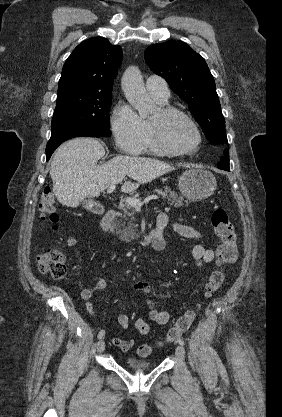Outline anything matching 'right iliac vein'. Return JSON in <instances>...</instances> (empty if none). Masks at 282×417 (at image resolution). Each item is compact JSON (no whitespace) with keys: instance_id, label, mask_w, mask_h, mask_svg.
Returning a JSON list of instances; mask_svg holds the SVG:
<instances>
[{"instance_id":"63e3f726","label":"right iliac vein","mask_w":282,"mask_h":417,"mask_svg":"<svg viewBox=\"0 0 282 417\" xmlns=\"http://www.w3.org/2000/svg\"><path fill=\"white\" fill-rule=\"evenodd\" d=\"M104 350H105V342H104L103 340H100V341L97 343V351H98L99 353H102Z\"/></svg>"}]
</instances>
